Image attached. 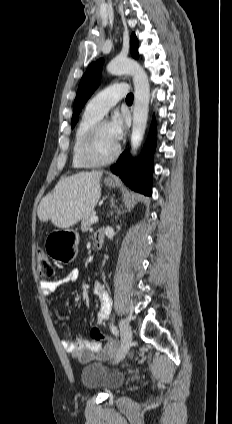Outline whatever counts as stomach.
<instances>
[{"instance_id": "1", "label": "stomach", "mask_w": 232, "mask_h": 424, "mask_svg": "<svg viewBox=\"0 0 232 424\" xmlns=\"http://www.w3.org/2000/svg\"><path fill=\"white\" fill-rule=\"evenodd\" d=\"M104 183L108 187H114L113 179H105ZM79 236L72 229H61L51 232L44 243L46 253L56 262H71L77 254Z\"/></svg>"}]
</instances>
